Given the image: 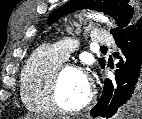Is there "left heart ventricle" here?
I'll use <instances>...</instances> for the list:
<instances>
[{
  "mask_svg": "<svg viewBox=\"0 0 142 119\" xmlns=\"http://www.w3.org/2000/svg\"><path fill=\"white\" fill-rule=\"evenodd\" d=\"M90 93L85 75L77 70H67L61 80L59 88V101L68 109L81 105Z\"/></svg>",
  "mask_w": 142,
  "mask_h": 119,
  "instance_id": "1",
  "label": "left heart ventricle"
}]
</instances>
